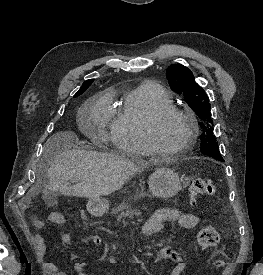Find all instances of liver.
<instances>
[{"mask_svg": "<svg viewBox=\"0 0 263 275\" xmlns=\"http://www.w3.org/2000/svg\"><path fill=\"white\" fill-rule=\"evenodd\" d=\"M75 133L54 134L46 143V151L54 149V158L46 171V192L64 196L98 199L120 189L147 163L132 162L120 156L77 148ZM69 180L75 182L70 185Z\"/></svg>", "mask_w": 263, "mask_h": 275, "instance_id": "6515ba94", "label": "liver"}]
</instances>
